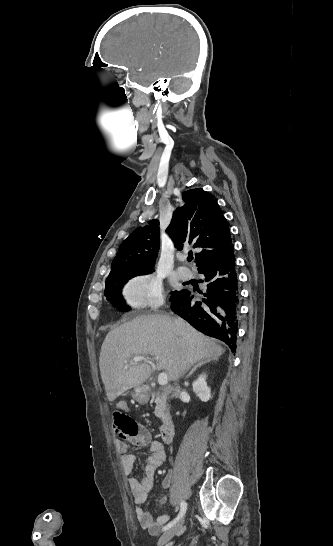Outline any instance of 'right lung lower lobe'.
I'll use <instances>...</instances> for the list:
<instances>
[{
  "label": "right lung lower lobe",
  "mask_w": 333,
  "mask_h": 546,
  "mask_svg": "<svg viewBox=\"0 0 333 546\" xmlns=\"http://www.w3.org/2000/svg\"><path fill=\"white\" fill-rule=\"evenodd\" d=\"M233 245L198 269L207 289L197 301L192 292L174 291L170 297L174 313L202 333L225 342L236 351L239 286Z\"/></svg>",
  "instance_id": "obj_1"
}]
</instances>
